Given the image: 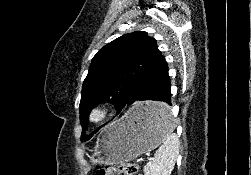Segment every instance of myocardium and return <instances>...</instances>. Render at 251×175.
<instances>
[{"label": "myocardium", "instance_id": "1", "mask_svg": "<svg viewBox=\"0 0 251 175\" xmlns=\"http://www.w3.org/2000/svg\"><path fill=\"white\" fill-rule=\"evenodd\" d=\"M115 115V108L106 102L92 105L88 111V120L95 126H103L109 123Z\"/></svg>", "mask_w": 251, "mask_h": 175}]
</instances>
